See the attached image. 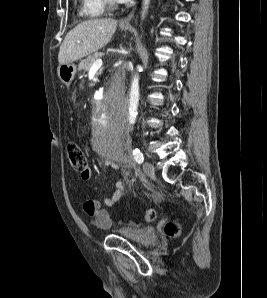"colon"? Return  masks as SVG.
Wrapping results in <instances>:
<instances>
[{"label":"colon","mask_w":267,"mask_h":298,"mask_svg":"<svg viewBox=\"0 0 267 298\" xmlns=\"http://www.w3.org/2000/svg\"><path fill=\"white\" fill-rule=\"evenodd\" d=\"M66 154L72 168L79 172L81 176H86L89 169L88 161L81 147L76 142L70 141L66 146ZM155 218L156 211L154 209H148L144 212V221L151 222ZM164 231L168 236L175 237L180 233V226L176 221L169 220L164 226Z\"/></svg>","instance_id":"obj_1"}]
</instances>
